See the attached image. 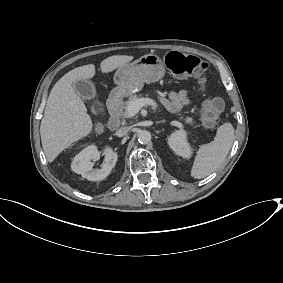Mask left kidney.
<instances>
[{
    "mask_svg": "<svg viewBox=\"0 0 283 283\" xmlns=\"http://www.w3.org/2000/svg\"><path fill=\"white\" fill-rule=\"evenodd\" d=\"M170 148L179 156L189 159L192 156L193 150L187 142V132L183 129L174 131L168 137Z\"/></svg>",
    "mask_w": 283,
    "mask_h": 283,
    "instance_id": "1",
    "label": "left kidney"
}]
</instances>
